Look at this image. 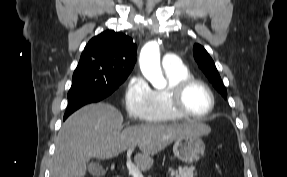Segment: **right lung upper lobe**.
Returning <instances> with one entry per match:
<instances>
[{"instance_id": "cb5924a9", "label": "right lung upper lobe", "mask_w": 287, "mask_h": 177, "mask_svg": "<svg viewBox=\"0 0 287 177\" xmlns=\"http://www.w3.org/2000/svg\"><path fill=\"white\" fill-rule=\"evenodd\" d=\"M136 49V43L125 34L104 31L88 42L77 67L97 71L109 79L125 77L134 67Z\"/></svg>"}]
</instances>
